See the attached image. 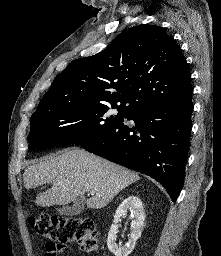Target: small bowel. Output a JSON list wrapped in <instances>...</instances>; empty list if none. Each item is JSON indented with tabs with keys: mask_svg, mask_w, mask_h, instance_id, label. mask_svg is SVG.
<instances>
[{
	"mask_svg": "<svg viewBox=\"0 0 221 256\" xmlns=\"http://www.w3.org/2000/svg\"><path fill=\"white\" fill-rule=\"evenodd\" d=\"M45 256H55V255L47 252V250H46Z\"/></svg>",
	"mask_w": 221,
	"mask_h": 256,
	"instance_id": "1",
	"label": "small bowel"
}]
</instances>
